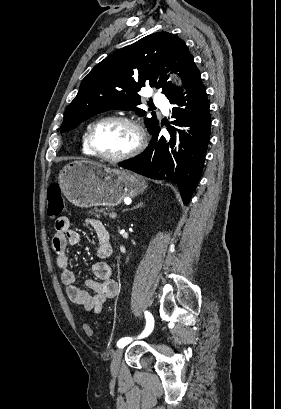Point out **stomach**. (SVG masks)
<instances>
[{"label": "stomach", "instance_id": "1", "mask_svg": "<svg viewBox=\"0 0 281 409\" xmlns=\"http://www.w3.org/2000/svg\"><path fill=\"white\" fill-rule=\"evenodd\" d=\"M57 180L64 196L82 209L116 207L125 196H137L147 186L142 176L95 160L68 162Z\"/></svg>", "mask_w": 281, "mask_h": 409}]
</instances>
